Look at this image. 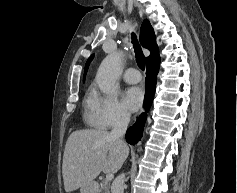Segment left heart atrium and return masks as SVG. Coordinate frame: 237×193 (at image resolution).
Wrapping results in <instances>:
<instances>
[{"mask_svg":"<svg viewBox=\"0 0 237 193\" xmlns=\"http://www.w3.org/2000/svg\"><path fill=\"white\" fill-rule=\"evenodd\" d=\"M143 99L144 92L140 87H130L123 95L124 104L130 111L138 110L143 103Z\"/></svg>","mask_w":237,"mask_h":193,"instance_id":"1","label":"left heart atrium"}]
</instances>
